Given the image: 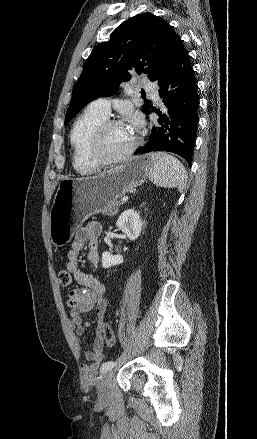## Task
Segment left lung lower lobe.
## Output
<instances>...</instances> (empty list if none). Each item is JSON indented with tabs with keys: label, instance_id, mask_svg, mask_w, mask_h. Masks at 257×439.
<instances>
[{
	"label": "left lung lower lobe",
	"instance_id": "0a47b994",
	"mask_svg": "<svg viewBox=\"0 0 257 439\" xmlns=\"http://www.w3.org/2000/svg\"><path fill=\"white\" fill-rule=\"evenodd\" d=\"M157 81L165 109L155 110L151 106V111L158 113L160 118L152 124L148 142L134 154L152 151L172 152L183 157L191 166L199 121V97L194 71L180 38L176 41L172 56Z\"/></svg>",
	"mask_w": 257,
	"mask_h": 439
}]
</instances>
